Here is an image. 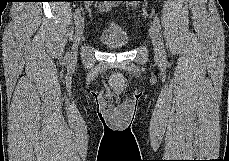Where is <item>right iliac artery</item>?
<instances>
[{
	"label": "right iliac artery",
	"instance_id": "82829eb1",
	"mask_svg": "<svg viewBox=\"0 0 229 161\" xmlns=\"http://www.w3.org/2000/svg\"><path fill=\"white\" fill-rule=\"evenodd\" d=\"M75 24H78V22L80 21L81 17H82V11L81 9H77L76 12H75Z\"/></svg>",
	"mask_w": 229,
	"mask_h": 161
}]
</instances>
